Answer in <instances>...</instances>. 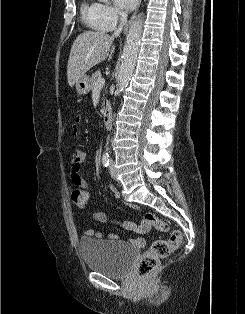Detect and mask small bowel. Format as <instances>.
<instances>
[{
    "label": "small bowel",
    "instance_id": "1",
    "mask_svg": "<svg viewBox=\"0 0 245 314\" xmlns=\"http://www.w3.org/2000/svg\"><path fill=\"white\" fill-rule=\"evenodd\" d=\"M80 121H81V118L79 116H77L75 118V122H74L73 127H72L73 133L75 135L78 134V124L80 123ZM87 157H88V155L86 152L81 151V150H77L74 153V158H73V162H72V173H71L72 182L75 185H77L83 189L88 188L87 181L81 176V169H82L83 164L87 160ZM111 189L115 192L116 198H119V194L114 190V188L112 186H111ZM93 219L99 223H105L108 221L106 214L104 212H101V211H95L93 213ZM132 224H133V227H131ZM122 226L126 229H129V230H132L135 232H141V233H144L148 230V229H144L142 225H137V224L127 222V221L123 222ZM83 235L85 237L94 236L96 238H101L103 236V233L102 232H95L92 229H86L83 232ZM108 236L110 239H113V240L119 239V236L116 234H113V233H110ZM129 241L133 245L138 246V247H143L146 243V240L144 237H132L129 239Z\"/></svg>",
    "mask_w": 245,
    "mask_h": 314
}]
</instances>
